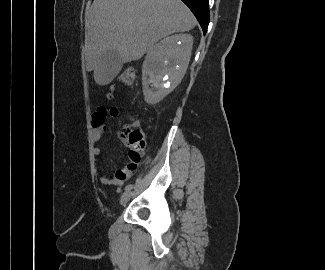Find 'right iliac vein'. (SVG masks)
Listing matches in <instances>:
<instances>
[{
	"instance_id": "right-iliac-vein-1",
	"label": "right iliac vein",
	"mask_w": 325,
	"mask_h": 270,
	"mask_svg": "<svg viewBox=\"0 0 325 270\" xmlns=\"http://www.w3.org/2000/svg\"><path fill=\"white\" fill-rule=\"evenodd\" d=\"M131 196H132V192L130 190L124 192L120 198V204L121 205L126 204L130 200Z\"/></svg>"
}]
</instances>
